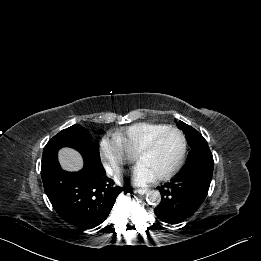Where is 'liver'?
Wrapping results in <instances>:
<instances>
[{
    "mask_svg": "<svg viewBox=\"0 0 261 261\" xmlns=\"http://www.w3.org/2000/svg\"><path fill=\"white\" fill-rule=\"evenodd\" d=\"M58 159L61 166L68 171H78L83 167L81 155L71 148H62L58 152Z\"/></svg>",
    "mask_w": 261,
    "mask_h": 261,
    "instance_id": "1",
    "label": "liver"
}]
</instances>
